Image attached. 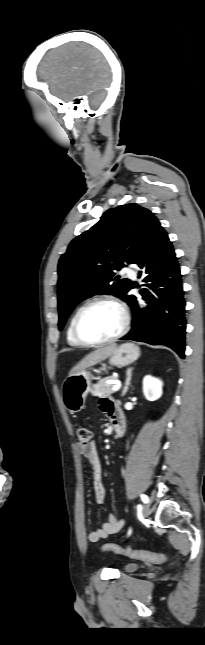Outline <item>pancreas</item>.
<instances>
[{"label": "pancreas", "mask_w": 205, "mask_h": 645, "mask_svg": "<svg viewBox=\"0 0 205 645\" xmlns=\"http://www.w3.org/2000/svg\"><path fill=\"white\" fill-rule=\"evenodd\" d=\"M108 380H117V377L109 376L101 379L97 384L93 386V389L91 390L92 395L101 397V396L112 394L113 385L108 384L107 383Z\"/></svg>", "instance_id": "pancreas-1"}]
</instances>
